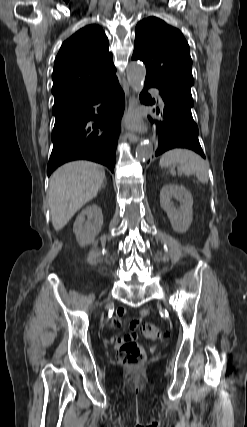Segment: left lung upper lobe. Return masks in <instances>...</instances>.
<instances>
[{"mask_svg":"<svg viewBox=\"0 0 247 427\" xmlns=\"http://www.w3.org/2000/svg\"><path fill=\"white\" fill-rule=\"evenodd\" d=\"M134 45L132 59L146 65L145 83L191 108L192 60L182 33L159 18L148 17L137 24Z\"/></svg>","mask_w":247,"mask_h":427,"instance_id":"1","label":"left lung upper lobe"}]
</instances>
